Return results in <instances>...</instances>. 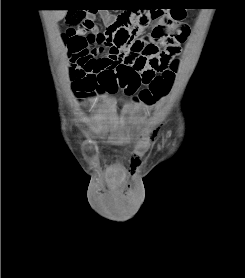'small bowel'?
<instances>
[{
	"instance_id": "c3829d8e",
	"label": "small bowel",
	"mask_w": 245,
	"mask_h": 278,
	"mask_svg": "<svg viewBox=\"0 0 245 278\" xmlns=\"http://www.w3.org/2000/svg\"><path fill=\"white\" fill-rule=\"evenodd\" d=\"M101 18L107 25L112 24L116 17L108 10L101 11ZM163 23L175 26L177 30L187 37L190 33L188 24L183 21L174 22L170 13H163ZM96 28L92 29V36H96ZM81 38L89 36L86 30H77L75 32ZM164 46L161 55H148L144 53V49L137 52H130L126 48H113L109 45H97L95 48L98 52H102L103 56L98 58L91 54H80V56L72 61L71 68H82L86 64H90L91 68L88 75L91 77L93 87L87 95L95 97L98 95L111 96L116 92H110L111 87H117L121 77H127L128 74L143 75L146 71L160 73L170 67L171 58L174 52L166 49L164 39H161ZM154 136V134H151Z\"/></svg>"
}]
</instances>
